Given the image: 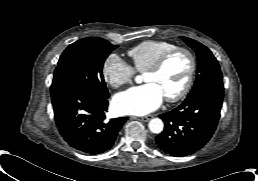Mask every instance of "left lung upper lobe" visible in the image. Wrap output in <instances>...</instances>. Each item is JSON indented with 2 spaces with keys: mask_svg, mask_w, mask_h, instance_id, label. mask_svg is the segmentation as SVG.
I'll return each instance as SVG.
<instances>
[{
  "mask_svg": "<svg viewBox=\"0 0 258 181\" xmlns=\"http://www.w3.org/2000/svg\"><path fill=\"white\" fill-rule=\"evenodd\" d=\"M180 38L196 52L198 58L196 82L186 99H192L208 90L223 91L222 73L218 61L212 52L206 46L193 39L187 37Z\"/></svg>",
  "mask_w": 258,
  "mask_h": 181,
  "instance_id": "1",
  "label": "left lung upper lobe"
}]
</instances>
